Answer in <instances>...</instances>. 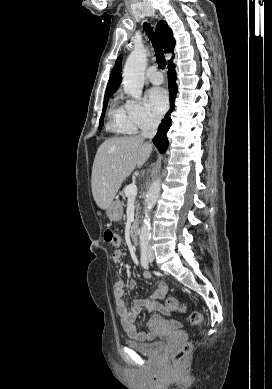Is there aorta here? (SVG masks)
<instances>
[{
    "label": "aorta",
    "mask_w": 272,
    "mask_h": 389,
    "mask_svg": "<svg viewBox=\"0 0 272 389\" xmlns=\"http://www.w3.org/2000/svg\"><path fill=\"white\" fill-rule=\"evenodd\" d=\"M147 65L146 50L136 47L127 58L123 69L124 91L138 100L142 95L144 71ZM161 190V179H155L146 195L145 216L140 230V241L147 243L151 238L150 212L153 209Z\"/></svg>",
    "instance_id": "762f6f07"
}]
</instances>
